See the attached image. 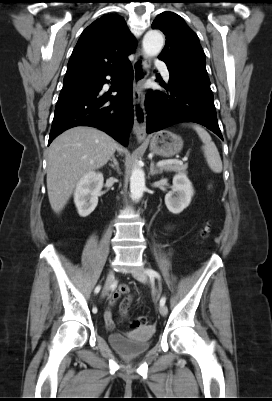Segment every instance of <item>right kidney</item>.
I'll list each match as a JSON object with an SVG mask.
<instances>
[{"label": "right kidney", "mask_w": 272, "mask_h": 401, "mask_svg": "<svg viewBox=\"0 0 272 401\" xmlns=\"http://www.w3.org/2000/svg\"><path fill=\"white\" fill-rule=\"evenodd\" d=\"M103 181V174L93 171L85 174L79 180L74 192V203L81 217H87L95 210L98 197L101 195Z\"/></svg>", "instance_id": "right-kidney-1"}]
</instances>
